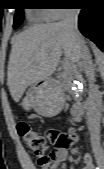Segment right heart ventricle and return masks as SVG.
I'll return each mask as SVG.
<instances>
[{"instance_id":"right-heart-ventricle-1","label":"right heart ventricle","mask_w":104,"mask_h":169,"mask_svg":"<svg viewBox=\"0 0 104 169\" xmlns=\"http://www.w3.org/2000/svg\"><path fill=\"white\" fill-rule=\"evenodd\" d=\"M35 15L41 20L46 21L50 20L49 15L50 11L48 9H38L35 11Z\"/></svg>"}]
</instances>
